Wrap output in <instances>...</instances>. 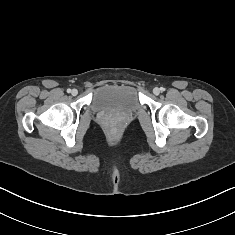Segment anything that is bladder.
<instances>
[{
  "label": "bladder",
  "instance_id": "bladder-1",
  "mask_svg": "<svg viewBox=\"0 0 235 235\" xmlns=\"http://www.w3.org/2000/svg\"><path fill=\"white\" fill-rule=\"evenodd\" d=\"M92 110L96 113L132 114L140 103L130 86L112 85L98 89L92 98Z\"/></svg>",
  "mask_w": 235,
  "mask_h": 235
}]
</instances>
